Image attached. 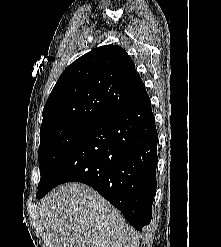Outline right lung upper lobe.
<instances>
[{
    "instance_id": "right-lung-upper-lobe-1",
    "label": "right lung upper lobe",
    "mask_w": 221,
    "mask_h": 247,
    "mask_svg": "<svg viewBox=\"0 0 221 247\" xmlns=\"http://www.w3.org/2000/svg\"><path fill=\"white\" fill-rule=\"evenodd\" d=\"M146 96L127 52L118 45L97 47L62 73L45 104L40 131L69 123L97 125Z\"/></svg>"
}]
</instances>
